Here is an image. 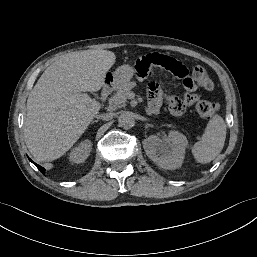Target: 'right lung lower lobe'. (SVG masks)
<instances>
[{
	"mask_svg": "<svg viewBox=\"0 0 257 257\" xmlns=\"http://www.w3.org/2000/svg\"><path fill=\"white\" fill-rule=\"evenodd\" d=\"M31 161V160H30ZM34 163V162H33ZM35 164V163H34ZM37 166V168L43 173L45 174V169L37 164H35Z\"/></svg>",
	"mask_w": 257,
	"mask_h": 257,
	"instance_id": "obj_1",
	"label": "right lung lower lobe"
}]
</instances>
